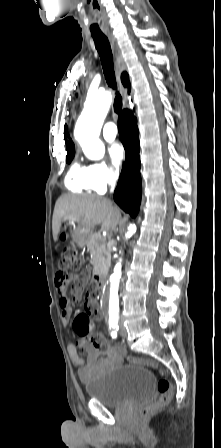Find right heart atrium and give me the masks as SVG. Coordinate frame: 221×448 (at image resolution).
I'll return each instance as SVG.
<instances>
[{
  "label": "right heart atrium",
  "instance_id": "right-heart-atrium-1",
  "mask_svg": "<svg viewBox=\"0 0 221 448\" xmlns=\"http://www.w3.org/2000/svg\"><path fill=\"white\" fill-rule=\"evenodd\" d=\"M118 172L105 162H94L87 167V179L91 189L105 191L118 180Z\"/></svg>",
  "mask_w": 221,
  "mask_h": 448
}]
</instances>
